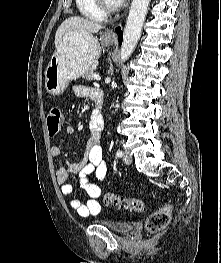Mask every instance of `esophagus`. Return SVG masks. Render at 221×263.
<instances>
[{"label":"esophagus","mask_w":221,"mask_h":263,"mask_svg":"<svg viewBox=\"0 0 221 263\" xmlns=\"http://www.w3.org/2000/svg\"><path fill=\"white\" fill-rule=\"evenodd\" d=\"M106 36H108L110 38H114V39L117 38L115 31L112 29L106 31Z\"/></svg>","instance_id":"34e87169"}]
</instances>
